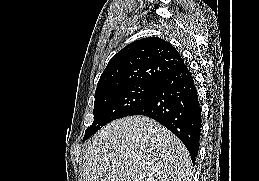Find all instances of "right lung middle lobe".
I'll return each mask as SVG.
<instances>
[{
  "label": "right lung middle lobe",
  "instance_id": "dd1d6c3e",
  "mask_svg": "<svg viewBox=\"0 0 259 181\" xmlns=\"http://www.w3.org/2000/svg\"><path fill=\"white\" fill-rule=\"evenodd\" d=\"M156 83H134L95 93L94 121L85 131L83 140L95 134L107 123L130 116L152 95Z\"/></svg>",
  "mask_w": 259,
  "mask_h": 181
}]
</instances>
